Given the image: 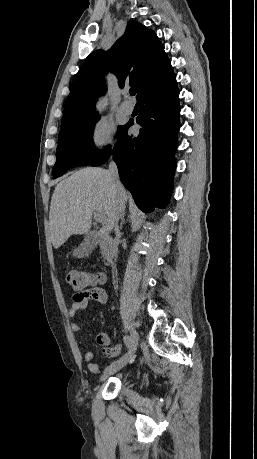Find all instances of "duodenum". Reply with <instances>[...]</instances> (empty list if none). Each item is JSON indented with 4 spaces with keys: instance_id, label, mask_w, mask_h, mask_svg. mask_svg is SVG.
I'll return each instance as SVG.
<instances>
[{
    "instance_id": "410a0bca",
    "label": "duodenum",
    "mask_w": 257,
    "mask_h": 459,
    "mask_svg": "<svg viewBox=\"0 0 257 459\" xmlns=\"http://www.w3.org/2000/svg\"><path fill=\"white\" fill-rule=\"evenodd\" d=\"M98 244L104 260L109 261L112 258L114 251L113 238L107 234H101L99 236Z\"/></svg>"
}]
</instances>
